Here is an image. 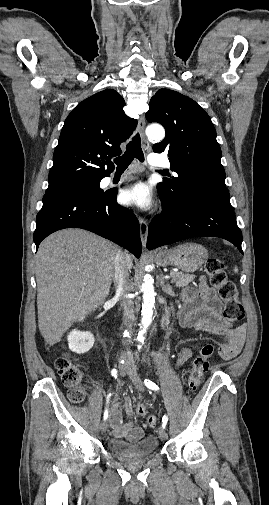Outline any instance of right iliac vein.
<instances>
[{
    "label": "right iliac vein",
    "instance_id": "1",
    "mask_svg": "<svg viewBox=\"0 0 269 505\" xmlns=\"http://www.w3.org/2000/svg\"><path fill=\"white\" fill-rule=\"evenodd\" d=\"M119 370H120V373H121L122 375L126 373V370H125V368H124V366H123V365H119ZM107 427H108L107 422H106V421H103V422L101 423V425H100L101 432H102V433H105V432H106V430H107Z\"/></svg>",
    "mask_w": 269,
    "mask_h": 505
}]
</instances>
